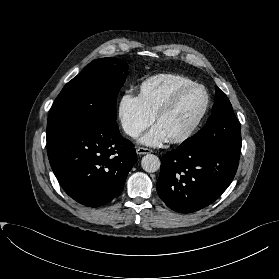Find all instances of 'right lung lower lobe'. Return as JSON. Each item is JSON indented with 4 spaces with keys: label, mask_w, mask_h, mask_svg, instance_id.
<instances>
[{
    "label": "right lung lower lobe",
    "mask_w": 279,
    "mask_h": 279,
    "mask_svg": "<svg viewBox=\"0 0 279 279\" xmlns=\"http://www.w3.org/2000/svg\"><path fill=\"white\" fill-rule=\"evenodd\" d=\"M52 170L63 190L78 203L100 207L124 187L137 162L134 145L118 125H87L47 142Z\"/></svg>",
    "instance_id": "right-lung-lower-lobe-1"
}]
</instances>
